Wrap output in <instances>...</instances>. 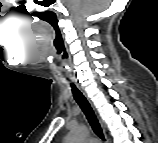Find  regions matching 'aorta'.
<instances>
[{
	"label": "aorta",
	"instance_id": "1",
	"mask_svg": "<svg viewBox=\"0 0 158 143\" xmlns=\"http://www.w3.org/2000/svg\"><path fill=\"white\" fill-rule=\"evenodd\" d=\"M84 136H85V128L79 127L72 131L71 136H70V141H72V142L82 141Z\"/></svg>",
	"mask_w": 158,
	"mask_h": 143
}]
</instances>
